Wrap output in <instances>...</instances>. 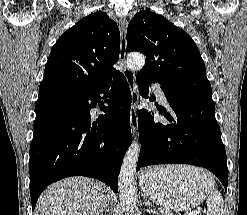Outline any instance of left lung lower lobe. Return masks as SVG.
<instances>
[{
  "label": "left lung lower lobe",
  "mask_w": 247,
  "mask_h": 215,
  "mask_svg": "<svg viewBox=\"0 0 247 215\" xmlns=\"http://www.w3.org/2000/svg\"><path fill=\"white\" fill-rule=\"evenodd\" d=\"M139 93L148 98L149 85L154 78L138 72ZM161 85V84H160ZM174 118L162 113L170 124L154 120L145 109L138 111L141 151L137 171L147 165L190 164L213 172L227 190L228 168L225 147L215 119L213 100L183 94L161 85Z\"/></svg>",
  "instance_id": "1"
}]
</instances>
